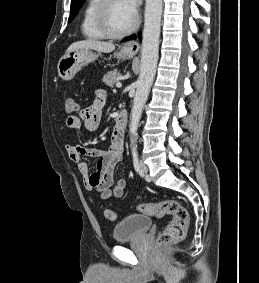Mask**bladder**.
Masks as SVG:
<instances>
[{"label": "bladder", "instance_id": "obj_1", "mask_svg": "<svg viewBox=\"0 0 259 283\" xmlns=\"http://www.w3.org/2000/svg\"><path fill=\"white\" fill-rule=\"evenodd\" d=\"M152 226V219L146 215L132 214L124 218L113 228V240L121 242L138 237Z\"/></svg>", "mask_w": 259, "mask_h": 283}]
</instances>
